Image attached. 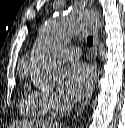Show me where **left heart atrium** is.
Segmentation results:
<instances>
[{
	"label": "left heart atrium",
	"mask_w": 125,
	"mask_h": 128,
	"mask_svg": "<svg viewBox=\"0 0 125 128\" xmlns=\"http://www.w3.org/2000/svg\"><path fill=\"white\" fill-rule=\"evenodd\" d=\"M93 80V73L86 64H70L61 72L59 83L60 92L70 101L80 100L89 93Z\"/></svg>",
	"instance_id": "left-heart-atrium-1"
}]
</instances>
